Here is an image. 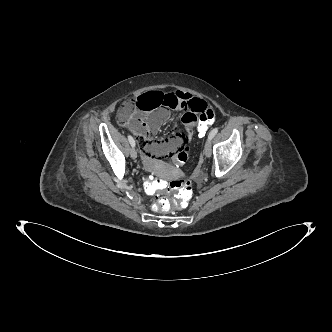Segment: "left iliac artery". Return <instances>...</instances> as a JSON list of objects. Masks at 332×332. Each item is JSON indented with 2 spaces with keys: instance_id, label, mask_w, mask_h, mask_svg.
<instances>
[{
  "instance_id": "1",
  "label": "left iliac artery",
  "mask_w": 332,
  "mask_h": 332,
  "mask_svg": "<svg viewBox=\"0 0 332 332\" xmlns=\"http://www.w3.org/2000/svg\"><path fill=\"white\" fill-rule=\"evenodd\" d=\"M217 132H218V128H214V129L210 132V134H209V138H210V139L214 138V136L217 134Z\"/></svg>"
}]
</instances>
